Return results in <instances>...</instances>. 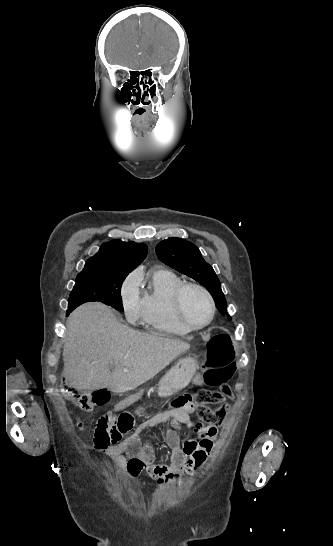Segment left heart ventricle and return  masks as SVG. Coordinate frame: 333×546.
Listing matches in <instances>:
<instances>
[{
    "label": "left heart ventricle",
    "mask_w": 333,
    "mask_h": 546,
    "mask_svg": "<svg viewBox=\"0 0 333 546\" xmlns=\"http://www.w3.org/2000/svg\"><path fill=\"white\" fill-rule=\"evenodd\" d=\"M184 312L187 319L195 325L205 323L210 316V306L207 298L197 289H188L183 299Z\"/></svg>",
    "instance_id": "obj_1"
}]
</instances>
